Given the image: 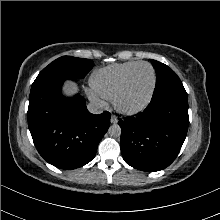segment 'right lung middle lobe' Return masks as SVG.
I'll use <instances>...</instances> for the list:
<instances>
[{
    "mask_svg": "<svg viewBox=\"0 0 220 220\" xmlns=\"http://www.w3.org/2000/svg\"><path fill=\"white\" fill-rule=\"evenodd\" d=\"M94 66L89 59L63 56L51 62L45 67L35 79V82L54 77L64 76L71 79H82Z\"/></svg>",
    "mask_w": 220,
    "mask_h": 220,
    "instance_id": "right-lung-middle-lobe-1",
    "label": "right lung middle lobe"
}]
</instances>
